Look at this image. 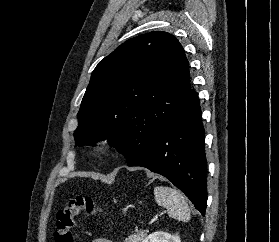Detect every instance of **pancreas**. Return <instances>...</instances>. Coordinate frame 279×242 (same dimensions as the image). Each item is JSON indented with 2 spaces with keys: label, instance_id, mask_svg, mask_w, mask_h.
Wrapping results in <instances>:
<instances>
[{
  "label": "pancreas",
  "instance_id": "pancreas-1",
  "mask_svg": "<svg viewBox=\"0 0 279 242\" xmlns=\"http://www.w3.org/2000/svg\"><path fill=\"white\" fill-rule=\"evenodd\" d=\"M145 236V231H139L138 233L130 235L128 238H126L125 242H142Z\"/></svg>",
  "mask_w": 279,
  "mask_h": 242
}]
</instances>
